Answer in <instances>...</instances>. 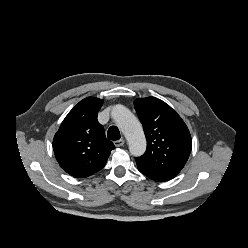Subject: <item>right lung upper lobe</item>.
Masks as SVG:
<instances>
[{
  "instance_id": "right-lung-upper-lobe-1",
  "label": "right lung upper lobe",
  "mask_w": 248,
  "mask_h": 248,
  "mask_svg": "<svg viewBox=\"0 0 248 248\" xmlns=\"http://www.w3.org/2000/svg\"><path fill=\"white\" fill-rule=\"evenodd\" d=\"M103 101L87 97L65 117L53 139V150L60 167L75 178L88 177L102 169L115 148L106 139L97 120Z\"/></svg>"
}]
</instances>
